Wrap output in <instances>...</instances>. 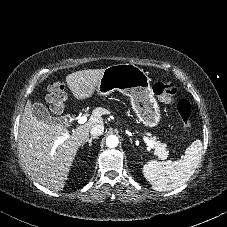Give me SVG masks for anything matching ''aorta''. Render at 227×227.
I'll return each instance as SVG.
<instances>
[{
  "label": "aorta",
  "mask_w": 227,
  "mask_h": 227,
  "mask_svg": "<svg viewBox=\"0 0 227 227\" xmlns=\"http://www.w3.org/2000/svg\"><path fill=\"white\" fill-rule=\"evenodd\" d=\"M118 143H119L118 137L115 136V135H110L106 139V145L109 148H115V147H117Z\"/></svg>",
  "instance_id": "aorta-1"
}]
</instances>
